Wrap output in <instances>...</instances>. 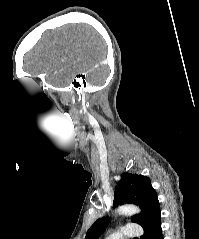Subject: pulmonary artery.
I'll list each match as a JSON object with an SVG mask.
<instances>
[{
	"mask_svg": "<svg viewBox=\"0 0 199 239\" xmlns=\"http://www.w3.org/2000/svg\"><path fill=\"white\" fill-rule=\"evenodd\" d=\"M141 234V227L134 223L125 225L122 229L110 234L106 239H129L139 237Z\"/></svg>",
	"mask_w": 199,
	"mask_h": 239,
	"instance_id": "pulmonary-artery-1",
	"label": "pulmonary artery"
}]
</instances>
